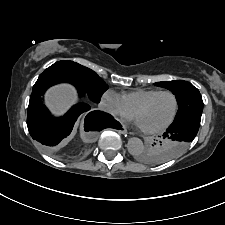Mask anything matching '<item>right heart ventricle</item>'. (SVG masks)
<instances>
[{"label": "right heart ventricle", "instance_id": "e07e8e85", "mask_svg": "<svg viewBox=\"0 0 225 225\" xmlns=\"http://www.w3.org/2000/svg\"><path fill=\"white\" fill-rule=\"evenodd\" d=\"M158 91V89H136L123 94L122 99L129 110L134 112L139 104Z\"/></svg>", "mask_w": 225, "mask_h": 225}]
</instances>
